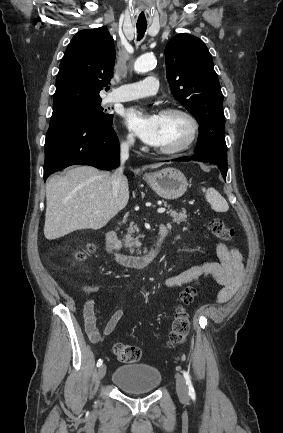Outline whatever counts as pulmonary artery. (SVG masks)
I'll return each instance as SVG.
<instances>
[{"label":"pulmonary artery","mask_w":283,"mask_h":433,"mask_svg":"<svg viewBox=\"0 0 283 433\" xmlns=\"http://www.w3.org/2000/svg\"><path fill=\"white\" fill-rule=\"evenodd\" d=\"M158 85L155 77H146L138 82L123 83L117 93L108 95V102H124L142 97L151 96L157 93Z\"/></svg>","instance_id":"obj_1"}]
</instances>
